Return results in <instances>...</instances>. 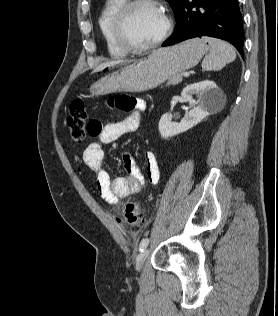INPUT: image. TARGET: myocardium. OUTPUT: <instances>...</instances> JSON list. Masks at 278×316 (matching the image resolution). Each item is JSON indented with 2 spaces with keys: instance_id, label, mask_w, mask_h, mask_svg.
Wrapping results in <instances>:
<instances>
[{
  "instance_id": "myocardium-1",
  "label": "myocardium",
  "mask_w": 278,
  "mask_h": 316,
  "mask_svg": "<svg viewBox=\"0 0 278 316\" xmlns=\"http://www.w3.org/2000/svg\"><path fill=\"white\" fill-rule=\"evenodd\" d=\"M142 4L152 5L158 9L164 20V29L159 37H157L151 43L145 45H135L129 40L127 36L126 21L131 11ZM113 29L117 42L127 52L142 53L158 47L168 38L173 29V21L165 7L157 0H127L114 17Z\"/></svg>"
}]
</instances>
